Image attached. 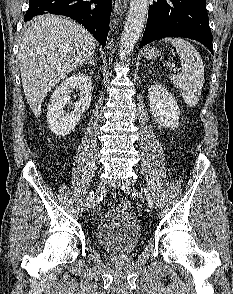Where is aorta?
I'll list each match as a JSON object with an SVG mask.
<instances>
[{
  "instance_id": "1",
  "label": "aorta",
  "mask_w": 233,
  "mask_h": 294,
  "mask_svg": "<svg viewBox=\"0 0 233 294\" xmlns=\"http://www.w3.org/2000/svg\"><path fill=\"white\" fill-rule=\"evenodd\" d=\"M148 0H130L128 16L119 42V56L123 60L133 50L145 26Z\"/></svg>"
}]
</instances>
